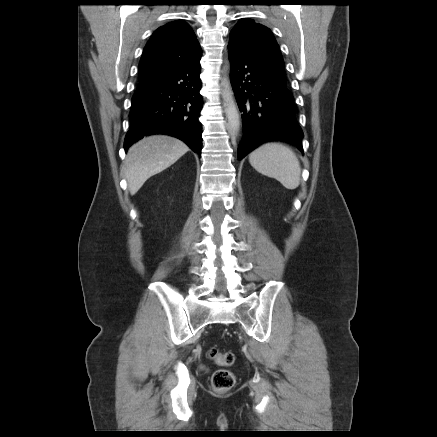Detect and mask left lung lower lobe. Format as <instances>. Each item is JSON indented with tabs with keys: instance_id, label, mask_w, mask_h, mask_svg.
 I'll list each match as a JSON object with an SVG mask.
<instances>
[{
	"instance_id": "0a47b994",
	"label": "left lung lower lobe",
	"mask_w": 437,
	"mask_h": 437,
	"mask_svg": "<svg viewBox=\"0 0 437 437\" xmlns=\"http://www.w3.org/2000/svg\"><path fill=\"white\" fill-rule=\"evenodd\" d=\"M228 49L231 84L242 112L244 131L238 159L272 140L289 142L302 151L303 132L297 123L293 95L287 85L238 51Z\"/></svg>"
}]
</instances>
